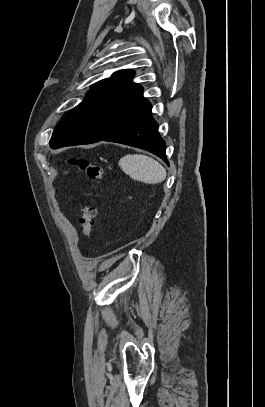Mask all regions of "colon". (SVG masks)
<instances>
[{
  "label": "colon",
  "instance_id": "colon-1",
  "mask_svg": "<svg viewBox=\"0 0 265 407\" xmlns=\"http://www.w3.org/2000/svg\"><path fill=\"white\" fill-rule=\"evenodd\" d=\"M68 163L77 168L81 173H84L91 181L95 183H101L104 181L105 174L101 165L96 164L86 158L75 157L69 158ZM96 215V207L92 203H85L80 219L82 235L85 239H88L91 235L92 229L95 225Z\"/></svg>",
  "mask_w": 265,
  "mask_h": 407
}]
</instances>
